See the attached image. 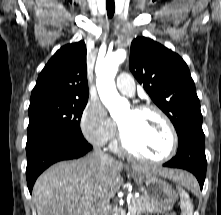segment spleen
<instances>
[{
	"mask_svg": "<svg viewBox=\"0 0 221 215\" xmlns=\"http://www.w3.org/2000/svg\"><path fill=\"white\" fill-rule=\"evenodd\" d=\"M192 182H194V179H192L190 182L184 185L189 188H192ZM180 204H181L182 215H193V205L191 203L189 195L184 190H181Z\"/></svg>",
	"mask_w": 221,
	"mask_h": 215,
	"instance_id": "obj_1",
	"label": "spleen"
}]
</instances>
